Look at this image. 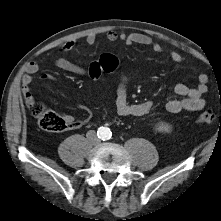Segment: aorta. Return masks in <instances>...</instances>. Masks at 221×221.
Instances as JSON below:
<instances>
[{
	"label": "aorta",
	"mask_w": 221,
	"mask_h": 221,
	"mask_svg": "<svg viewBox=\"0 0 221 221\" xmlns=\"http://www.w3.org/2000/svg\"><path fill=\"white\" fill-rule=\"evenodd\" d=\"M111 134L112 133H111L109 128H107V127H100V129H99V136H100L101 139L108 140V139H110Z\"/></svg>",
	"instance_id": "762f6f07"
}]
</instances>
